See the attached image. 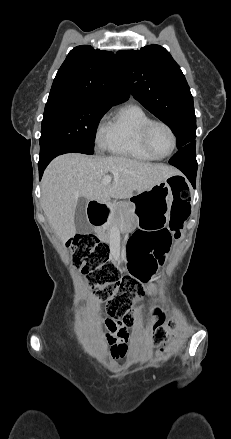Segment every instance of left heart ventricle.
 <instances>
[{
  "mask_svg": "<svg viewBox=\"0 0 231 439\" xmlns=\"http://www.w3.org/2000/svg\"><path fill=\"white\" fill-rule=\"evenodd\" d=\"M152 148L158 155L167 154L172 147V138L170 133L163 126L153 127L150 134Z\"/></svg>",
  "mask_w": 231,
  "mask_h": 439,
  "instance_id": "left-heart-ventricle-1",
  "label": "left heart ventricle"
}]
</instances>
